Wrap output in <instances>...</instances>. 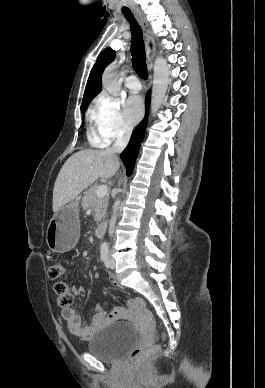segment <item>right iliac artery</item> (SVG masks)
<instances>
[{
  "label": "right iliac artery",
  "instance_id": "right-iliac-artery-1",
  "mask_svg": "<svg viewBox=\"0 0 265 388\" xmlns=\"http://www.w3.org/2000/svg\"><path fill=\"white\" fill-rule=\"evenodd\" d=\"M100 258L105 264H108L109 261V247L107 244H102L100 249Z\"/></svg>",
  "mask_w": 265,
  "mask_h": 388
}]
</instances>
